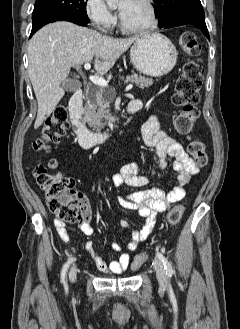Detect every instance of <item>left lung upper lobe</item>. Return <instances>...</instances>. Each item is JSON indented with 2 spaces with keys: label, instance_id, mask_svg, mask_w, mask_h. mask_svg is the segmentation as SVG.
<instances>
[{
  "label": "left lung upper lobe",
  "instance_id": "5c2ea615",
  "mask_svg": "<svg viewBox=\"0 0 240 329\" xmlns=\"http://www.w3.org/2000/svg\"><path fill=\"white\" fill-rule=\"evenodd\" d=\"M156 3L155 14L159 27L180 16H196L205 18L200 0H153Z\"/></svg>",
  "mask_w": 240,
  "mask_h": 329
}]
</instances>
